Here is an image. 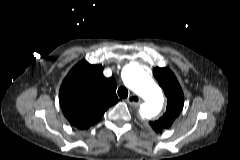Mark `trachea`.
Here are the masks:
<instances>
[{"instance_id": "3493384b", "label": "trachea", "mask_w": 240, "mask_h": 160, "mask_svg": "<svg viewBox=\"0 0 240 160\" xmlns=\"http://www.w3.org/2000/svg\"><path fill=\"white\" fill-rule=\"evenodd\" d=\"M118 95L120 98H127L128 97V90L126 87L121 86L118 88Z\"/></svg>"}]
</instances>
